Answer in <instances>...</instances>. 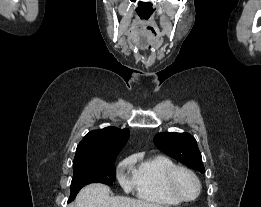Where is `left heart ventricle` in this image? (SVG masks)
I'll use <instances>...</instances> for the list:
<instances>
[{
    "instance_id": "1",
    "label": "left heart ventricle",
    "mask_w": 261,
    "mask_h": 207,
    "mask_svg": "<svg viewBox=\"0 0 261 207\" xmlns=\"http://www.w3.org/2000/svg\"><path fill=\"white\" fill-rule=\"evenodd\" d=\"M175 184L178 191L186 198L194 197L197 192L195 181L187 173L180 172L176 177Z\"/></svg>"
}]
</instances>
